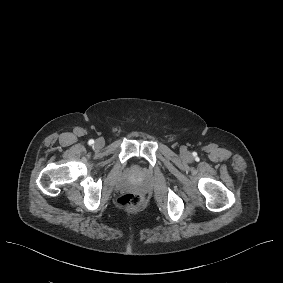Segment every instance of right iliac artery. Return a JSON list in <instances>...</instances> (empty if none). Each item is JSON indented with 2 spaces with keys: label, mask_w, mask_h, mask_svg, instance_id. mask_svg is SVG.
<instances>
[{
  "label": "right iliac artery",
  "mask_w": 283,
  "mask_h": 283,
  "mask_svg": "<svg viewBox=\"0 0 283 283\" xmlns=\"http://www.w3.org/2000/svg\"><path fill=\"white\" fill-rule=\"evenodd\" d=\"M88 144H89V145H93V144H94V140H93V139L89 140V141H88Z\"/></svg>",
  "instance_id": "obj_1"
}]
</instances>
